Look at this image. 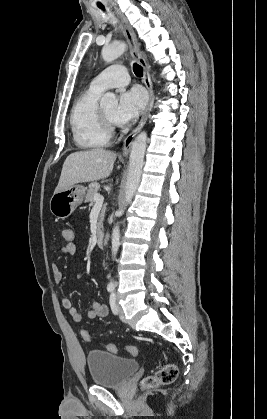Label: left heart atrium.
<instances>
[{
	"instance_id": "left-heart-atrium-1",
	"label": "left heart atrium",
	"mask_w": 267,
	"mask_h": 419,
	"mask_svg": "<svg viewBox=\"0 0 267 419\" xmlns=\"http://www.w3.org/2000/svg\"><path fill=\"white\" fill-rule=\"evenodd\" d=\"M146 103V96L140 88L123 91L115 114V123L124 125L134 121L142 112Z\"/></svg>"
}]
</instances>
